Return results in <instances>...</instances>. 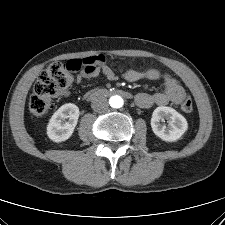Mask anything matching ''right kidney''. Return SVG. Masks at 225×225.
<instances>
[{
  "label": "right kidney",
  "instance_id": "obj_1",
  "mask_svg": "<svg viewBox=\"0 0 225 225\" xmlns=\"http://www.w3.org/2000/svg\"><path fill=\"white\" fill-rule=\"evenodd\" d=\"M79 108L73 103L62 105L51 117L47 126V135L53 142L69 139L77 125Z\"/></svg>",
  "mask_w": 225,
  "mask_h": 225
}]
</instances>
